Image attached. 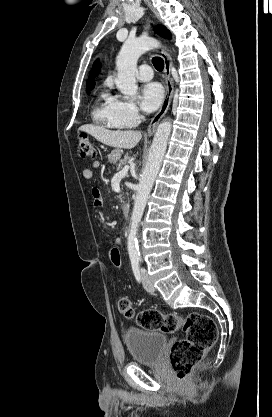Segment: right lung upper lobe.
I'll use <instances>...</instances> for the list:
<instances>
[{"mask_svg":"<svg viewBox=\"0 0 272 417\" xmlns=\"http://www.w3.org/2000/svg\"><path fill=\"white\" fill-rule=\"evenodd\" d=\"M100 63H99V61L97 60L95 63H94V66H93V69L91 70V72H90V75H89V78H88V80H87V87H86V89L87 88H90V89H92L93 87H94V85H95V82H94V77L97 75V73L99 72V70H100Z\"/></svg>","mask_w":272,"mask_h":417,"instance_id":"cb5924a9","label":"right lung upper lobe"}]
</instances>
